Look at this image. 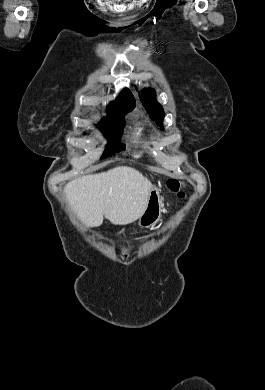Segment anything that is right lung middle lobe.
I'll use <instances>...</instances> for the list:
<instances>
[{"instance_id": "right-lung-middle-lobe-1", "label": "right lung middle lobe", "mask_w": 265, "mask_h": 390, "mask_svg": "<svg viewBox=\"0 0 265 390\" xmlns=\"http://www.w3.org/2000/svg\"><path fill=\"white\" fill-rule=\"evenodd\" d=\"M123 124H124V117L117 118V119L106 117L103 120V122L99 124L105 126V129H102V132L108 139V144L106 145L105 151L101 157L102 159L109 157L112 154L124 149L119 142L122 129H123Z\"/></svg>"}]
</instances>
